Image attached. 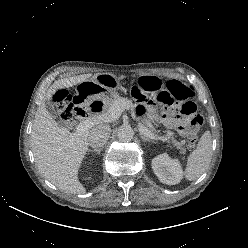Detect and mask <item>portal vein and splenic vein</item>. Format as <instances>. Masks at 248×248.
I'll return each instance as SVG.
<instances>
[{
  "mask_svg": "<svg viewBox=\"0 0 248 248\" xmlns=\"http://www.w3.org/2000/svg\"><path fill=\"white\" fill-rule=\"evenodd\" d=\"M131 107V105H129L128 103L121 101V102H116L114 103L111 107H109L104 113H102L101 115L97 116V118L95 120H84L82 122H80L77 126H76V130L74 134H82L83 132L87 131L88 129H90L95 122H111L114 121L116 119H118L122 112L125 109H129ZM139 130L140 132L153 139V140H161V141H166V139L163 136H157L153 133H151L147 128H145L142 125H139Z\"/></svg>",
  "mask_w": 248,
  "mask_h": 248,
  "instance_id": "obj_1",
  "label": "portal vein and splenic vein"
}]
</instances>
